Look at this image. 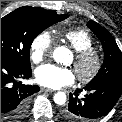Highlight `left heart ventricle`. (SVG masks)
Here are the masks:
<instances>
[{"label":"left heart ventricle","instance_id":"1","mask_svg":"<svg viewBox=\"0 0 122 122\" xmlns=\"http://www.w3.org/2000/svg\"><path fill=\"white\" fill-rule=\"evenodd\" d=\"M90 66L91 64L90 63H87L84 67H83V70L84 71H88L90 69Z\"/></svg>","mask_w":122,"mask_h":122}]
</instances>
